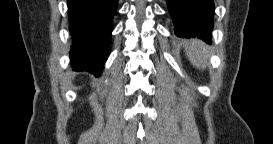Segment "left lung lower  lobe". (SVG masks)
Returning <instances> with one entry per match:
<instances>
[{"label": "left lung lower lobe", "mask_w": 273, "mask_h": 144, "mask_svg": "<svg viewBox=\"0 0 273 144\" xmlns=\"http://www.w3.org/2000/svg\"><path fill=\"white\" fill-rule=\"evenodd\" d=\"M178 37H198L211 43L213 0H167Z\"/></svg>", "instance_id": "left-lung-lower-lobe-1"}]
</instances>
